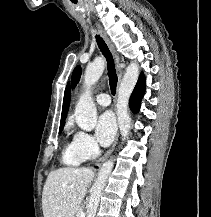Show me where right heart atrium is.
<instances>
[{
	"label": "right heart atrium",
	"instance_id": "1",
	"mask_svg": "<svg viewBox=\"0 0 211 217\" xmlns=\"http://www.w3.org/2000/svg\"><path fill=\"white\" fill-rule=\"evenodd\" d=\"M73 144L77 152L84 158L93 159L99 152V146L94 137L87 132L77 131L73 137Z\"/></svg>",
	"mask_w": 211,
	"mask_h": 217
}]
</instances>
